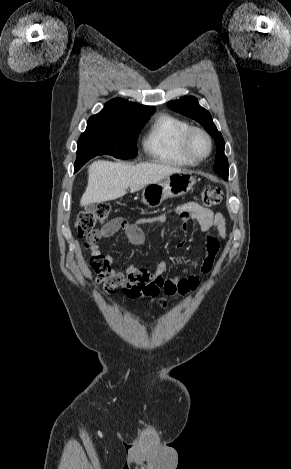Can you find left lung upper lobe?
Listing matches in <instances>:
<instances>
[{"mask_svg": "<svg viewBox=\"0 0 291 469\" xmlns=\"http://www.w3.org/2000/svg\"><path fill=\"white\" fill-rule=\"evenodd\" d=\"M167 105L174 111L179 112L198 121L205 130L212 136L217 146L216 163L213 170L223 177L228 179V160L224 154L225 142L221 133L217 130L212 121L210 113L202 108L197 98L193 96L183 97L179 100L170 101Z\"/></svg>", "mask_w": 291, "mask_h": 469, "instance_id": "1", "label": "left lung upper lobe"}]
</instances>
